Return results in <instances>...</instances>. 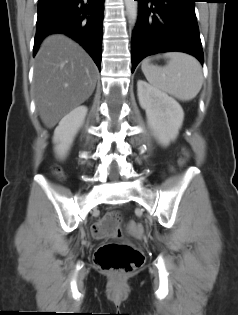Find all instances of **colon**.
I'll list each match as a JSON object with an SVG mask.
<instances>
[{
  "instance_id": "obj_1",
  "label": "colon",
  "mask_w": 238,
  "mask_h": 315,
  "mask_svg": "<svg viewBox=\"0 0 238 315\" xmlns=\"http://www.w3.org/2000/svg\"><path fill=\"white\" fill-rule=\"evenodd\" d=\"M187 160L185 155L181 160L184 164ZM57 175L61 174L58 167L54 168ZM131 232L142 234V228L136 223H130ZM93 234L98 239L116 238L120 236V214L117 212L107 213L93 226ZM95 264L103 271L116 275L131 273L142 266L144 254L135 246L125 243H106L101 245L94 255Z\"/></svg>"
}]
</instances>
